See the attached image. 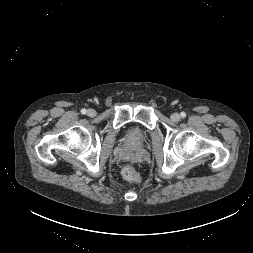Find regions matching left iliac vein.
<instances>
[{"instance_id":"4c4485c4","label":"left iliac vein","mask_w":253,"mask_h":253,"mask_svg":"<svg viewBox=\"0 0 253 253\" xmlns=\"http://www.w3.org/2000/svg\"><path fill=\"white\" fill-rule=\"evenodd\" d=\"M171 120L174 121V122H177L180 120V115L178 113H173L171 115Z\"/></svg>"}]
</instances>
